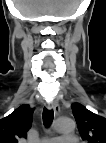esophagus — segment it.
<instances>
[{
  "mask_svg": "<svg viewBox=\"0 0 106 143\" xmlns=\"http://www.w3.org/2000/svg\"><path fill=\"white\" fill-rule=\"evenodd\" d=\"M48 109H52L56 115L60 113V106L57 102L50 103Z\"/></svg>",
  "mask_w": 106,
  "mask_h": 143,
  "instance_id": "esophagus-1",
  "label": "esophagus"
}]
</instances>
